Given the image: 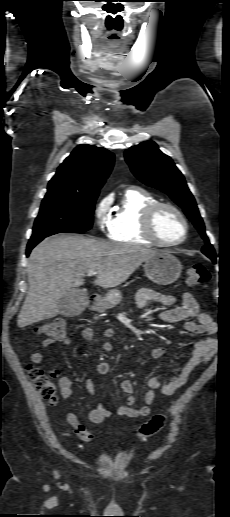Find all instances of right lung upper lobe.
<instances>
[{
    "instance_id": "obj_1",
    "label": "right lung upper lobe",
    "mask_w": 230,
    "mask_h": 517,
    "mask_svg": "<svg viewBox=\"0 0 230 517\" xmlns=\"http://www.w3.org/2000/svg\"><path fill=\"white\" fill-rule=\"evenodd\" d=\"M114 164L110 151L82 144L58 167L49 181L45 197L99 193Z\"/></svg>"
}]
</instances>
